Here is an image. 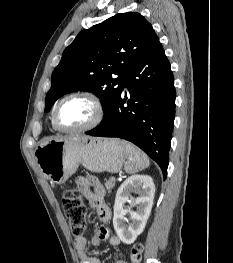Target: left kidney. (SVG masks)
Returning <instances> with one entry per match:
<instances>
[{
    "mask_svg": "<svg viewBox=\"0 0 233 263\" xmlns=\"http://www.w3.org/2000/svg\"><path fill=\"white\" fill-rule=\"evenodd\" d=\"M136 193V199H129L130 193ZM155 194L153 179L147 175H133L127 178L119 187L114 204L113 226L119 239L125 244H132L146 225L151 213ZM126 202L131 207L136 206V211L131 208L124 209ZM130 214L131 222L125 224L126 214Z\"/></svg>",
    "mask_w": 233,
    "mask_h": 263,
    "instance_id": "5707ae66",
    "label": "left kidney"
}]
</instances>
